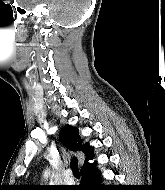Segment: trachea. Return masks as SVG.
Wrapping results in <instances>:
<instances>
[{
    "mask_svg": "<svg viewBox=\"0 0 165 190\" xmlns=\"http://www.w3.org/2000/svg\"><path fill=\"white\" fill-rule=\"evenodd\" d=\"M70 166L72 169V172L74 174L75 177H79L80 176V172H79V168H78V160L77 158H72L71 162H70Z\"/></svg>",
    "mask_w": 165,
    "mask_h": 190,
    "instance_id": "obj_1",
    "label": "trachea"
}]
</instances>
